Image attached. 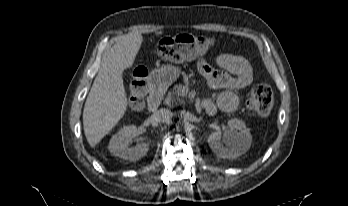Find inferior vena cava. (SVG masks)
Instances as JSON below:
<instances>
[{"mask_svg": "<svg viewBox=\"0 0 348 206\" xmlns=\"http://www.w3.org/2000/svg\"><path fill=\"white\" fill-rule=\"evenodd\" d=\"M154 119L159 123H167L173 117V112L166 108H161L154 112Z\"/></svg>", "mask_w": 348, "mask_h": 206, "instance_id": "inferior-vena-cava-1", "label": "inferior vena cava"}]
</instances>
